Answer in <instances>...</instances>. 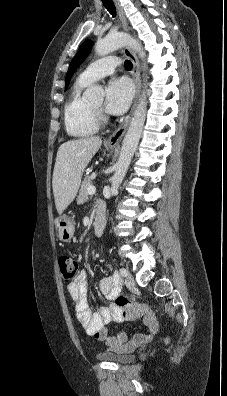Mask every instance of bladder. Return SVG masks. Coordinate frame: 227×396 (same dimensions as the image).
<instances>
[{"label": "bladder", "mask_w": 227, "mask_h": 396, "mask_svg": "<svg viewBox=\"0 0 227 396\" xmlns=\"http://www.w3.org/2000/svg\"><path fill=\"white\" fill-rule=\"evenodd\" d=\"M97 358L117 364H125L131 362L134 355L131 352H102L97 354Z\"/></svg>", "instance_id": "1"}]
</instances>
